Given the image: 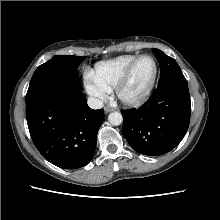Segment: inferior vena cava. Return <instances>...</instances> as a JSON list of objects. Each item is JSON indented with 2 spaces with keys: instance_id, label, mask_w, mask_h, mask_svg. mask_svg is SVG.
<instances>
[{
  "instance_id": "1",
  "label": "inferior vena cava",
  "mask_w": 220,
  "mask_h": 220,
  "mask_svg": "<svg viewBox=\"0 0 220 220\" xmlns=\"http://www.w3.org/2000/svg\"><path fill=\"white\" fill-rule=\"evenodd\" d=\"M87 103L91 109H101L104 106L102 100L94 97H89Z\"/></svg>"
}]
</instances>
